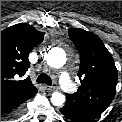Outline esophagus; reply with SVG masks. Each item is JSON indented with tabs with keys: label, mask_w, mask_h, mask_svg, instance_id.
<instances>
[{
	"label": "esophagus",
	"mask_w": 122,
	"mask_h": 122,
	"mask_svg": "<svg viewBox=\"0 0 122 122\" xmlns=\"http://www.w3.org/2000/svg\"><path fill=\"white\" fill-rule=\"evenodd\" d=\"M44 88H45V90H47V91H49V92L55 90V87H54V86H50V85H44Z\"/></svg>",
	"instance_id": "34e87169"
}]
</instances>
